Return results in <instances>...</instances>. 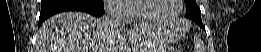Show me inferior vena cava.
Wrapping results in <instances>:
<instances>
[{
	"label": "inferior vena cava",
	"instance_id": "inferior-vena-cava-1",
	"mask_svg": "<svg viewBox=\"0 0 261 52\" xmlns=\"http://www.w3.org/2000/svg\"><path fill=\"white\" fill-rule=\"evenodd\" d=\"M107 15L105 17V23L107 26L111 28H116L122 25V19L120 18L117 7L112 4L110 6H106Z\"/></svg>",
	"mask_w": 261,
	"mask_h": 52
}]
</instances>
